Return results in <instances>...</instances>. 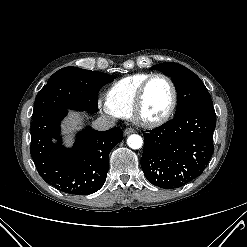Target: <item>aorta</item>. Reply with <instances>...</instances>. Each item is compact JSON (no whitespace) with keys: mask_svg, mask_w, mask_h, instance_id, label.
Returning <instances> with one entry per match:
<instances>
[{"mask_svg":"<svg viewBox=\"0 0 247 247\" xmlns=\"http://www.w3.org/2000/svg\"><path fill=\"white\" fill-rule=\"evenodd\" d=\"M127 144L132 149H139L143 145V139L140 135L132 134L127 138Z\"/></svg>","mask_w":247,"mask_h":247,"instance_id":"762f6f07","label":"aorta"}]
</instances>
